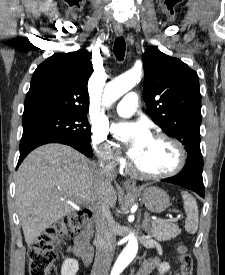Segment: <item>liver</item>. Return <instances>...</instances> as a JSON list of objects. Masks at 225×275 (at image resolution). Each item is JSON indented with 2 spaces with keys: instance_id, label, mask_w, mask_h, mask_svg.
Returning <instances> with one entry per match:
<instances>
[{
  "instance_id": "obj_1",
  "label": "liver",
  "mask_w": 225,
  "mask_h": 275,
  "mask_svg": "<svg viewBox=\"0 0 225 275\" xmlns=\"http://www.w3.org/2000/svg\"><path fill=\"white\" fill-rule=\"evenodd\" d=\"M16 205L25 241H33L75 210L103 200L113 207L116 190L105 184L95 163L62 144H46L32 151L16 175Z\"/></svg>"
}]
</instances>
